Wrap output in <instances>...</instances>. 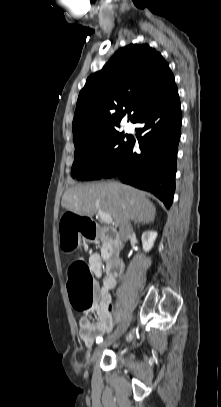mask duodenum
Listing matches in <instances>:
<instances>
[{
	"instance_id": "duodenum-1",
	"label": "duodenum",
	"mask_w": 221,
	"mask_h": 407,
	"mask_svg": "<svg viewBox=\"0 0 221 407\" xmlns=\"http://www.w3.org/2000/svg\"><path fill=\"white\" fill-rule=\"evenodd\" d=\"M106 235L110 236L116 241L117 247H119L120 242L117 238L116 232L111 228H103ZM124 270L123 260L117 255H112L107 262V272L110 276L117 277L122 274Z\"/></svg>"
}]
</instances>
